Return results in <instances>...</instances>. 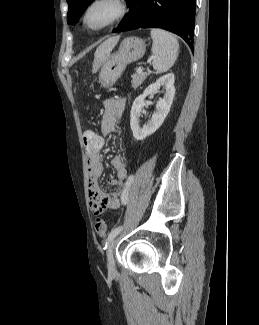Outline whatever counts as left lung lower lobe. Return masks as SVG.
<instances>
[{"label":"left lung lower lobe","mask_w":259,"mask_h":325,"mask_svg":"<svg viewBox=\"0 0 259 325\" xmlns=\"http://www.w3.org/2000/svg\"><path fill=\"white\" fill-rule=\"evenodd\" d=\"M128 14L115 32L161 28L182 37L193 48L196 0H129Z\"/></svg>","instance_id":"obj_1"}]
</instances>
